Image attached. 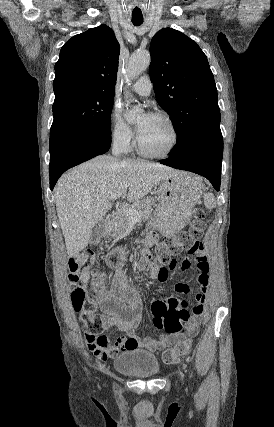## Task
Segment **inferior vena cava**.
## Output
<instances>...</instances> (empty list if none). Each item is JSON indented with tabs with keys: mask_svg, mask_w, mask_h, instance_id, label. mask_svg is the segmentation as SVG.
I'll list each match as a JSON object with an SVG mask.
<instances>
[{
	"mask_svg": "<svg viewBox=\"0 0 274 427\" xmlns=\"http://www.w3.org/2000/svg\"><path fill=\"white\" fill-rule=\"evenodd\" d=\"M123 150V142L122 140H115L114 146L112 148V154L113 156H116V158H119L121 156Z\"/></svg>",
	"mask_w": 274,
	"mask_h": 427,
	"instance_id": "obj_1",
	"label": "inferior vena cava"
}]
</instances>
